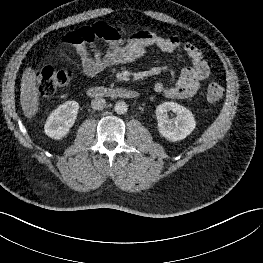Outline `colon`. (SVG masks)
<instances>
[{
  "label": "colon",
  "instance_id": "obj_1",
  "mask_svg": "<svg viewBox=\"0 0 263 263\" xmlns=\"http://www.w3.org/2000/svg\"><path fill=\"white\" fill-rule=\"evenodd\" d=\"M72 78L69 70H56L52 67H45L37 72V88L42 96H52L58 89L66 85ZM224 95L223 87L216 83H210L206 96L210 102L219 101Z\"/></svg>",
  "mask_w": 263,
  "mask_h": 263
}]
</instances>
